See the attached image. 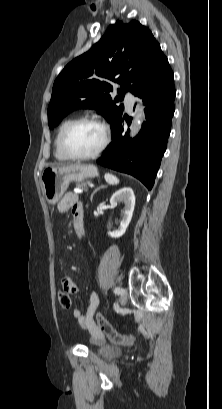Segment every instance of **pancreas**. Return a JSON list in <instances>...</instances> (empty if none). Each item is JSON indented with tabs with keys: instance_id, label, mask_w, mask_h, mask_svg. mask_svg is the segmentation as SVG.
<instances>
[{
	"instance_id": "pancreas-1",
	"label": "pancreas",
	"mask_w": 222,
	"mask_h": 409,
	"mask_svg": "<svg viewBox=\"0 0 222 409\" xmlns=\"http://www.w3.org/2000/svg\"><path fill=\"white\" fill-rule=\"evenodd\" d=\"M88 184H89V182H82L81 184H78L77 186L79 188H86Z\"/></svg>"
}]
</instances>
